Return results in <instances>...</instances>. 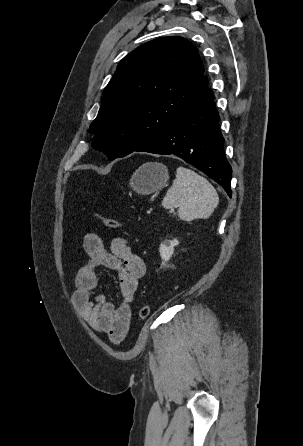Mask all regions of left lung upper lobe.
Instances as JSON below:
<instances>
[{"mask_svg": "<svg viewBox=\"0 0 303 446\" xmlns=\"http://www.w3.org/2000/svg\"><path fill=\"white\" fill-rule=\"evenodd\" d=\"M198 49L169 36L147 42L118 65L90 125L93 146L111 159L162 137L208 87Z\"/></svg>", "mask_w": 303, "mask_h": 446, "instance_id": "1", "label": "left lung upper lobe"}]
</instances>
